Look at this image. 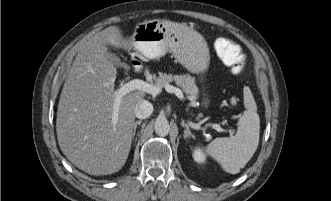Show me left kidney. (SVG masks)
Masks as SVG:
<instances>
[{
	"label": "left kidney",
	"mask_w": 331,
	"mask_h": 201,
	"mask_svg": "<svg viewBox=\"0 0 331 201\" xmlns=\"http://www.w3.org/2000/svg\"><path fill=\"white\" fill-rule=\"evenodd\" d=\"M193 158L197 163H204L206 160V156L200 148H195Z\"/></svg>",
	"instance_id": "1"
}]
</instances>
